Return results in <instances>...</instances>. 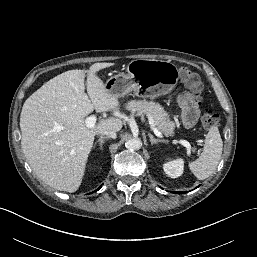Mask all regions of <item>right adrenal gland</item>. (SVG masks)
Wrapping results in <instances>:
<instances>
[{
  "label": "right adrenal gland",
  "instance_id": "right-adrenal-gland-1",
  "mask_svg": "<svg viewBox=\"0 0 257 257\" xmlns=\"http://www.w3.org/2000/svg\"><path fill=\"white\" fill-rule=\"evenodd\" d=\"M107 139V137H100L97 142H95L93 149L96 147L97 144H99L100 150H102L103 143Z\"/></svg>",
  "mask_w": 257,
  "mask_h": 257
}]
</instances>
